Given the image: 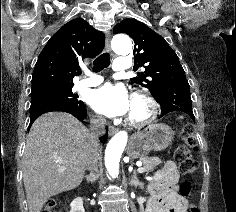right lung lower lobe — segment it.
<instances>
[{
  "instance_id": "1",
  "label": "right lung lower lobe",
  "mask_w": 236,
  "mask_h": 212,
  "mask_svg": "<svg viewBox=\"0 0 236 212\" xmlns=\"http://www.w3.org/2000/svg\"><path fill=\"white\" fill-rule=\"evenodd\" d=\"M53 111L68 112L74 115L77 119L83 120L87 116V110L84 103L80 105H72L58 100H53L46 97H33L31 98L30 106V124L28 131L32 123L42 114ZM108 137V133L100 137V141L105 143Z\"/></svg>"
}]
</instances>
